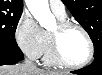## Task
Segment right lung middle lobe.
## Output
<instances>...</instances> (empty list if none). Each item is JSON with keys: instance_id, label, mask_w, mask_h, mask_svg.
I'll return each mask as SVG.
<instances>
[{"instance_id": "right-lung-middle-lobe-1", "label": "right lung middle lobe", "mask_w": 102, "mask_h": 75, "mask_svg": "<svg viewBox=\"0 0 102 75\" xmlns=\"http://www.w3.org/2000/svg\"><path fill=\"white\" fill-rule=\"evenodd\" d=\"M23 8L0 5V44L17 45L15 31Z\"/></svg>"}]
</instances>
